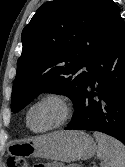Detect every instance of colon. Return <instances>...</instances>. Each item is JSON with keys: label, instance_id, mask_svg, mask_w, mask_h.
<instances>
[{"label": "colon", "instance_id": "1", "mask_svg": "<svg viewBox=\"0 0 125 167\" xmlns=\"http://www.w3.org/2000/svg\"><path fill=\"white\" fill-rule=\"evenodd\" d=\"M8 167H29L28 162L19 156H11L8 158L7 161ZM33 167H38L37 165H34Z\"/></svg>", "mask_w": 125, "mask_h": 167}]
</instances>
